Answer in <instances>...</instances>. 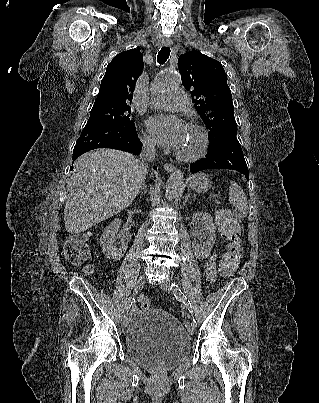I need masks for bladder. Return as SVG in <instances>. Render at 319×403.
<instances>
[{
	"instance_id": "31cf9c89",
	"label": "bladder",
	"mask_w": 319,
	"mask_h": 403,
	"mask_svg": "<svg viewBox=\"0 0 319 403\" xmlns=\"http://www.w3.org/2000/svg\"><path fill=\"white\" fill-rule=\"evenodd\" d=\"M129 357L150 371H167L185 360L191 340L174 316L154 309L136 313L125 334Z\"/></svg>"
}]
</instances>
